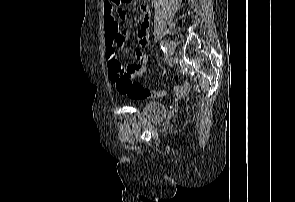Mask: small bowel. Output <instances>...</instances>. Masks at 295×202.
Instances as JSON below:
<instances>
[{"label":"small bowel","mask_w":295,"mask_h":202,"mask_svg":"<svg viewBox=\"0 0 295 202\" xmlns=\"http://www.w3.org/2000/svg\"><path fill=\"white\" fill-rule=\"evenodd\" d=\"M141 22L137 30L138 46L131 49L133 63L127 65L130 67L132 77H139L146 71L148 62L147 55L142 51L149 43V18L150 10L148 5H140ZM126 11L122 5H116L113 0H105L103 7V24L105 28L104 42L106 47V59L108 71L113 81L117 76L114 73L113 66L123 65L120 60L121 52L125 51L126 33L120 30L119 24L125 18ZM125 66V65H123Z\"/></svg>","instance_id":"c3829d8e"}]
</instances>
